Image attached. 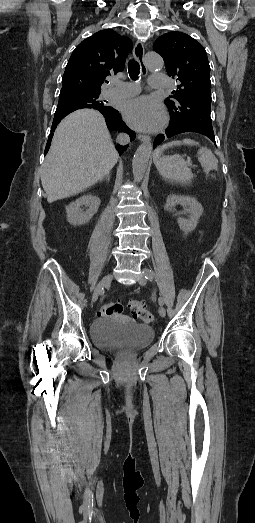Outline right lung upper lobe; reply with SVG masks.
Here are the masks:
<instances>
[{"instance_id": "cb5924a9", "label": "right lung upper lobe", "mask_w": 255, "mask_h": 523, "mask_svg": "<svg viewBox=\"0 0 255 523\" xmlns=\"http://www.w3.org/2000/svg\"><path fill=\"white\" fill-rule=\"evenodd\" d=\"M132 50V42L126 36H121L112 29L101 30L82 41L73 51L62 78L61 91L101 92V86L108 83L106 77L116 74L125 67V60ZM81 108H94L105 117L110 131L127 133L131 140L134 132L121 119L117 110L99 101H89L87 107H76L73 102H59L52 130L46 146L50 147L57 124L69 113ZM127 146L117 144L119 154Z\"/></svg>"}]
</instances>
